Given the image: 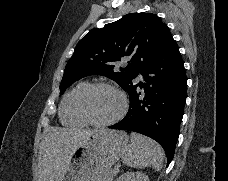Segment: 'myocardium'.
Masks as SVG:
<instances>
[{
  "label": "myocardium",
  "mask_w": 228,
  "mask_h": 181,
  "mask_svg": "<svg viewBox=\"0 0 228 181\" xmlns=\"http://www.w3.org/2000/svg\"><path fill=\"white\" fill-rule=\"evenodd\" d=\"M98 87H105V88H110L112 90H114L118 96L120 97L121 100V106L119 108V110L110 118L108 119H104V120H100V121H96V120H92L90 119L84 109V98L86 96V94L95 88ZM128 109V99L126 97V95L124 94V92L118 88L116 85L110 83V82H94L92 84H89L79 95L78 100H77V112L78 115L88 124L93 125V126H108L111 125L117 121H119L126 113Z\"/></svg>",
  "instance_id": "1"
}]
</instances>
